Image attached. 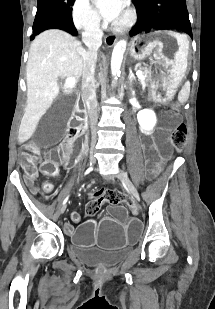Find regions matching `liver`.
Listing matches in <instances>:
<instances>
[{
  "label": "liver",
  "mask_w": 215,
  "mask_h": 309,
  "mask_svg": "<svg viewBox=\"0 0 215 309\" xmlns=\"http://www.w3.org/2000/svg\"><path fill=\"white\" fill-rule=\"evenodd\" d=\"M82 42L75 36L51 28L31 42L27 60V106L21 120L18 140L32 136L41 116L59 94V78L79 80L83 70Z\"/></svg>",
  "instance_id": "liver-1"
}]
</instances>
